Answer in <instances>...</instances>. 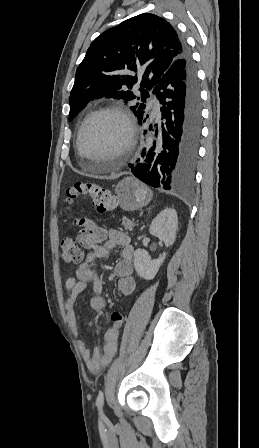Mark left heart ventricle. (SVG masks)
<instances>
[{
  "label": "left heart ventricle",
  "instance_id": "left-heart-ventricle-1",
  "mask_svg": "<svg viewBox=\"0 0 259 448\" xmlns=\"http://www.w3.org/2000/svg\"><path fill=\"white\" fill-rule=\"evenodd\" d=\"M125 136V124L119 116L107 114L97 118L84 133L81 161L106 162L115 157L114 149Z\"/></svg>",
  "mask_w": 259,
  "mask_h": 448
}]
</instances>
